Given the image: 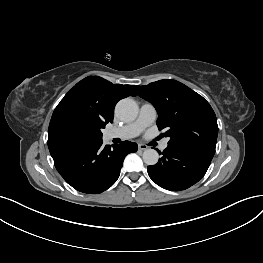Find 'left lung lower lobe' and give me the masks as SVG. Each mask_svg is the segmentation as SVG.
Returning a JSON list of instances; mask_svg holds the SVG:
<instances>
[{"label": "left lung lower lobe", "instance_id": "obj_1", "mask_svg": "<svg viewBox=\"0 0 263 263\" xmlns=\"http://www.w3.org/2000/svg\"><path fill=\"white\" fill-rule=\"evenodd\" d=\"M162 154L156 165L148 166V174L157 185L171 191L184 190L197 183L213 158L205 152L169 145Z\"/></svg>", "mask_w": 263, "mask_h": 263}]
</instances>
